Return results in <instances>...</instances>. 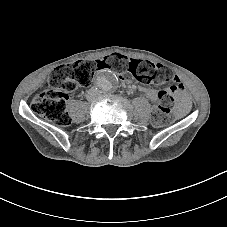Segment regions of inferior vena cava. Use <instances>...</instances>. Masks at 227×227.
Masks as SVG:
<instances>
[{
  "label": "inferior vena cava",
  "instance_id": "602c4592",
  "mask_svg": "<svg viewBox=\"0 0 227 227\" xmlns=\"http://www.w3.org/2000/svg\"><path fill=\"white\" fill-rule=\"evenodd\" d=\"M99 97V91L96 89V88H91L89 89L88 91V95H87V98L88 99H97Z\"/></svg>",
  "mask_w": 227,
  "mask_h": 227
}]
</instances>
